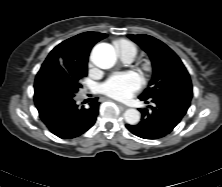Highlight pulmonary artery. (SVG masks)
<instances>
[{
    "mask_svg": "<svg viewBox=\"0 0 222 187\" xmlns=\"http://www.w3.org/2000/svg\"><path fill=\"white\" fill-rule=\"evenodd\" d=\"M135 55H136V50L134 47H127L120 50L121 59L126 63L132 62Z\"/></svg>",
    "mask_w": 222,
    "mask_h": 187,
    "instance_id": "e3ab8cb5",
    "label": "pulmonary artery"
}]
</instances>
